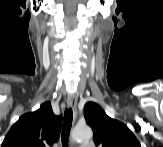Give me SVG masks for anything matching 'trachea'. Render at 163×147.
Returning <instances> with one entry per match:
<instances>
[{
  "label": "trachea",
  "instance_id": "trachea-1",
  "mask_svg": "<svg viewBox=\"0 0 163 147\" xmlns=\"http://www.w3.org/2000/svg\"><path fill=\"white\" fill-rule=\"evenodd\" d=\"M72 120H73V112L72 109H66L64 113V120H63V126H62V145L66 146L69 139V134L72 126Z\"/></svg>",
  "mask_w": 163,
  "mask_h": 147
}]
</instances>
